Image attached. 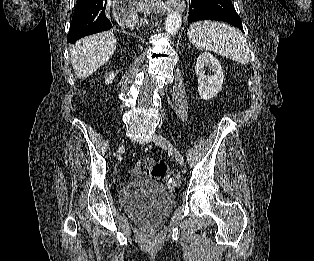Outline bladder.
I'll use <instances>...</instances> for the list:
<instances>
[{
	"label": "bladder",
	"instance_id": "31cf9c89",
	"mask_svg": "<svg viewBox=\"0 0 314 261\" xmlns=\"http://www.w3.org/2000/svg\"><path fill=\"white\" fill-rule=\"evenodd\" d=\"M120 203L129 216L155 225L167 219L174 206L175 195L163 183L136 180L122 187Z\"/></svg>",
	"mask_w": 314,
	"mask_h": 261
}]
</instances>
